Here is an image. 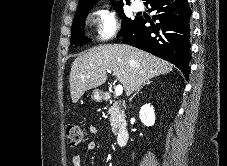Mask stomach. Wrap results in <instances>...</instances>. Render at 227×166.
I'll list each match as a JSON object with an SVG mask.
<instances>
[{"label": "stomach", "mask_w": 227, "mask_h": 166, "mask_svg": "<svg viewBox=\"0 0 227 166\" xmlns=\"http://www.w3.org/2000/svg\"><path fill=\"white\" fill-rule=\"evenodd\" d=\"M105 98V94L101 90H94L91 95V99L96 102H102Z\"/></svg>", "instance_id": "stomach-1"}]
</instances>
